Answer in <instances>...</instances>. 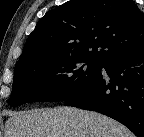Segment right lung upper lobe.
I'll return each mask as SVG.
<instances>
[{"mask_svg":"<svg viewBox=\"0 0 144 137\" xmlns=\"http://www.w3.org/2000/svg\"><path fill=\"white\" fill-rule=\"evenodd\" d=\"M142 46L144 14L133 0H71L40 19L16 66L65 58L104 64Z\"/></svg>","mask_w":144,"mask_h":137,"instance_id":"cb5924a9","label":"right lung upper lobe"}]
</instances>
